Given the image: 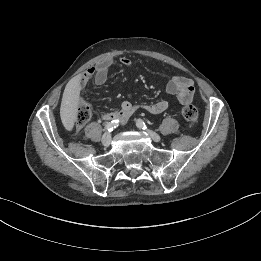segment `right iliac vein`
I'll return each instance as SVG.
<instances>
[{
    "label": "right iliac vein",
    "mask_w": 261,
    "mask_h": 261,
    "mask_svg": "<svg viewBox=\"0 0 261 261\" xmlns=\"http://www.w3.org/2000/svg\"><path fill=\"white\" fill-rule=\"evenodd\" d=\"M101 142L103 144V146L107 147L110 145L111 143V134L110 133H105L103 136H102V139H101Z\"/></svg>",
    "instance_id": "63e3f726"
}]
</instances>
